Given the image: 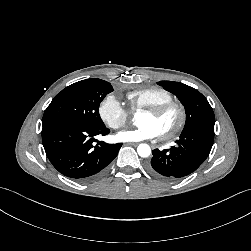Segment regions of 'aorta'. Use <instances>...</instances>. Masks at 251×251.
Wrapping results in <instances>:
<instances>
[{
    "instance_id": "obj_1",
    "label": "aorta",
    "mask_w": 251,
    "mask_h": 251,
    "mask_svg": "<svg viewBox=\"0 0 251 251\" xmlns=\"http://www.w3.org/2000/svg\"><path fill=\"white\" fill-rule=\"evenodd\" d=\"M137 153L140 157L146 158L151 154V148L148 144H140L137 147Z\"/></svg>"
}]
</instances>
